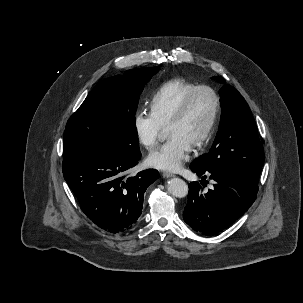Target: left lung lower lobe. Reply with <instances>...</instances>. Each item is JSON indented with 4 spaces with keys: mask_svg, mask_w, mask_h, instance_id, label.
<instances>
[{
    "mask_svg": "<svg viewBox=\"0 0 303 303\" xmlns=\"http://www.w3.org/2000/svg\"><path fill=\"white\" fill-rule=\"evenodd\" d=\"M190 168L202 179L208 176L215 181L214 188L207 192H203L198 182L189 184L188 203L183 218L195 231L206 235L221 232L240 218L256 199L258 183L245 176L193 164Z\"/></svg>",
    "mask_w": 303,
    "mask_h": 303,
    "instance_id": "left-lung-lower-lobe-1",
    "label": "left lung lower lobe"
}]
</instances>
